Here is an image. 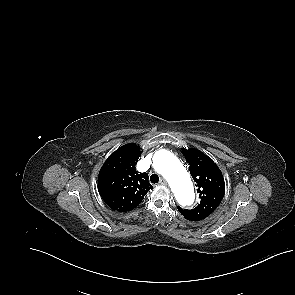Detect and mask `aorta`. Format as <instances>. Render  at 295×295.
Returning <instances> with one entry per match:
<instances>
[{
	"label": "aorta",
	"instance_id": "aorta-1",
	"mask_svg": "<svg viewBox=\"0 0 295 295\" xmlns=\"http://www.w3.org/2000/svg\"><path fill=\"white\" fill-rule=\"evenodd\" d=\"M154 168L168 181L177 202L191 206L195 199L193 183L179 159L168 150H159L153 157Z\"/></svg>",
	"mask_w": 295,
	"mask_h": 295
}]
</instances>
